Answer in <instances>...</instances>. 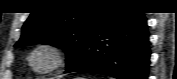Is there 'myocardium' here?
I'll use <instances>...</instances> for the list:
<instances>
[{"label":"myocardium","instance_id":"myocardium-1","mask_svg":"<svg viewBox=\"0 0 177 79\" xmlns=\"http://www.w3.org/2000/svg\"><path fill=\"white\" fill-rule=\"evenodd\" d=\"M41 50L50 51L53 54V58H54L53 64L49 68L43 69V70L35 68L32 64V57L34 56V54H36L37 52ZM64 58H65L64 51L59 45L55 43H51V42H42V43L37 44L29 52L27 61L33 71L37 73H41V74H48L60 68V66L64 62Z\"/></svg>","mask_w":177,"mask_h":79}]
</instances>
